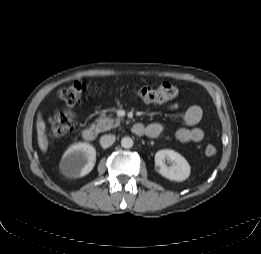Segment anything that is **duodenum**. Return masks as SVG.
<instances>
[{"instance_id": "1", "label": "duodenum", "mask_w": 261, "mask_h": 254, "mask_svg": "<svg viewBox=\"0 0 261 254\" xmlns=\"http://www.w3.org/2000/svg\"><path fill=\"white\" fill-rule=\"evenodd\" d=\"M133 131H135L136 133L138 134H142V127L138 126V125H134L133 127ZM134 132V133H135ZM82 137L85 141H94L95 138H96V132L93 128H85L83 131H82Z\"/></svg>"}]
</instances>
